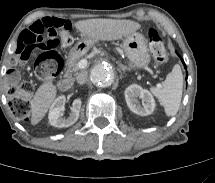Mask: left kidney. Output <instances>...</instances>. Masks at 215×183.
<instances>
[{
	"instance_id": "left-kidney-1",
	"label": "left kidney",
	"mask_w": 215,
	"mask_h": 183,
	"mask_svg": "<svg viewBox=\"0 0 215 183\" xmlns=\"http://www.w3.org/2000/svg\"><path fill=\"white\" fill-rule=\"evenodd\" d=\"M137 98L142 100V105L138 102ZM125 99L129 109L135 114L147 116L154 111L155 101L152 94L137 84L126 88Z\"/></svg>"
}]
</instances>
